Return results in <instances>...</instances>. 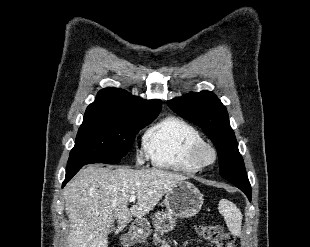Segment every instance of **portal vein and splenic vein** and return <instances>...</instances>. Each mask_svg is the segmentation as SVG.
Here are the masks:
<instances>
[{"mask_svg":"<svg viewBox=\"0 0 310 247\" xmlns=\"http://www.w3.org/2000/svg\"><path fill=\"white\" fill-rule=\"evenodd\" d=\"M135 200H136V196H130L129 202H135Z\"/></svg>","mask_w":310,"mask_h":247,"instance_id":"obj_1","label":"portal vein and splenic vein"}]
</instances>
